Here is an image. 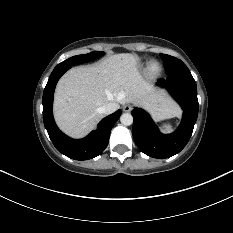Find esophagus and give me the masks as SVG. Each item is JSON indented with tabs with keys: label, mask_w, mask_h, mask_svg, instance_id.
Returning <instances> with one entry per match:
<instances>
[{
	"label": "esophagus",
	"mask_w": 233,
	"mask_h": 233,
	"mask_svg": "<svg viewBox=\"0 0 233 233\" xmlns=\"http://www.w3.org/2000/svg\"><path fill=\"white\" fill-rule=\"evenodd\" d=\"M132 110V106L130 104H124L123 105V111L124 112H130Z\"/></svg>",
	"instance_id": "esophagus-1"
}]
</instances>
